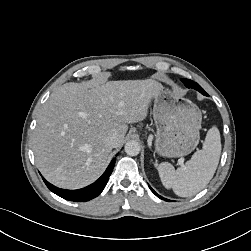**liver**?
<instances>
[{
  "instance_id": "obj_1",
  "label": "liver",
  "mask_w": 251,
  "mask_h": 251,
  "mask_svg": "<svg viewBox=\"0 0 251 251\" xmlns=\"http://www.w3.org/2000/svg\"><path fill=\"white\" fill-rule=\"evenodd\" d=\"M161 84L153 79L66 83L42 106L33 134L36 165L52 184L78 189L103 172L117 135L118 148L128 124L144 120Z\"/></svg>"
}]
</instances>
